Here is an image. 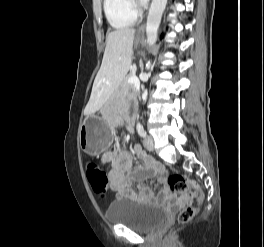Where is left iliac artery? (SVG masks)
Returning a JSON list of instances; mask_svg holds the SVG:
<instances>
[{
  "instance_id": "1",
  "label": "left iliac artery",
  "mask_w": 264,
  "mask_h": 247,
  "mask_svg": "<svg viewBox=\"0 0 264 247\" xmlns=\"http://www.w3.org/2000/svg\"><path fill=\"white\" fill-rule=\"evenodd\" d=\"M136 128H137V132H138V134H139L141 137L145 138V137H146V131H145L143 125H142L140 122L137 123Z\"/></svg>"
}]
</instances>
